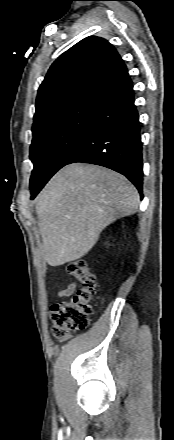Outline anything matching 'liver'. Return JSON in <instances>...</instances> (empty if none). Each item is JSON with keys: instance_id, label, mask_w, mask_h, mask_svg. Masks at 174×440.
Listing matches in <instances>:
<instances>
[{"instance_id": "6515ba94", "label": "liver", "mask_w": 174, "mask_h": 440, "mask_svg": "<svg viewBox=\"0 0 174 440\" xmlns=\"http://www.w3.org/2000/svg\"><path fill=\"white\" fill-rule=\"evenodd\" d=\"M139 202L134 185L115 171L90 164L65 166L36 198L45 260L59 266L82 258L105 227L134 214Z\"/></svg>"}]
</instances>
